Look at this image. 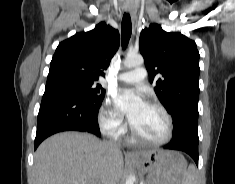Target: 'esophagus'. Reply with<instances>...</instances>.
<instances>
[{"mask_svg": "<svg viewBox=\"0 0 235 184\" xmlns=\"http://www.w3.org/2000/svg\"><path fill=\"white\" fill-rule=\"evenodd\" d=\"M126 8L130 11L131 20H132L133 34L135 35L136 30H137V22H138L137 14H136V11L133 9L132 2L127 1ZM126 156H128V157L135 156V154L131 151H127Z\"/></svg>", "mask_w": 235, "mask_h": 184, "instance_id": "34e87169", "label": "esophagus"}]
</instances>
